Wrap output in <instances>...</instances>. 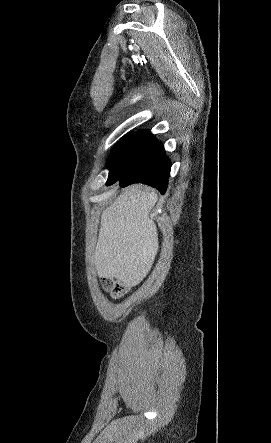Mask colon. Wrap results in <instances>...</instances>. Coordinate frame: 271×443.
I'll return each instance as SVG.
<instances>
[{
    "instance_id": "1",
    "label": "colon",
    "mask_w": 271,
    "mask_h": 443,
    "mask_svg": "<svg viewBox=\"0 0 271 443\" xmlns=\"http://www.w3.org/2000/svg\"><path fill=\"white\" fill-rule=\"evenodd\" d=\"M102 287L109 292L113 297H122L124 296L130 288L128 282L122 279H103Z\"/></svg>"
}]
</instances>
